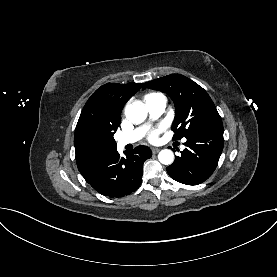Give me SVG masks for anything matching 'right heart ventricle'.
<instances>
[{
	"label": "right heart ventricle",
	"mask_w": 277,
	"mask_h": 277,
	"mask_svg": "<svg viewBox=\"0 0 277 277\" xmlns=\"http://www.w3.org/2000/svg\"><path fill=\"white\" fill-rule=\"evenodd\" d=\"M156 95H159V94H154V93L153 94H149V95L146 96V99H148L150 97H153V96H156Z\"/></svg>",
	"instance_id": "right-heart-ventricle-1"
}]
</instances>
